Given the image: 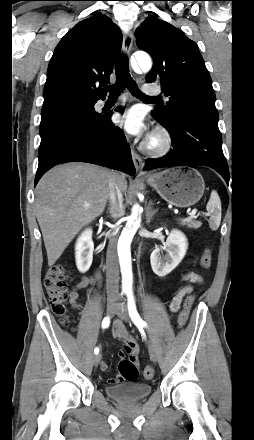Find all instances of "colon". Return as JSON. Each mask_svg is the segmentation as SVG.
<instances>
[{
	"label": "colon",
	"mask_w": 254,
	"mask_h": 440,
	"mask_svg": "<svg viewBox=\"0 0 254 440\" xmlns=\"http://www.w3.org/2000/svg\"><path fill=\"white\" fill-rule=\"evenodd\" d=\"M212 252L209 248H205L201 257V266L208 269L212 264ZM70 274L66 267L57 264L48 269L44 277V287L50 301L52 311L60 318L63 324L67 323L66 303L69 299V291L67 282ZM193 302V296L188 295L184 299L183 307L178 316V326L184 327L189 316V309ZM120 375L124 381L134 382L137 380L139 371L137 364L131 359H123L118 365ZM144 376L151 379L154 376V370L148 366L144 369Z\"/></svg>",
	"instance_id": "5ec220e1"
}]
</instances>
